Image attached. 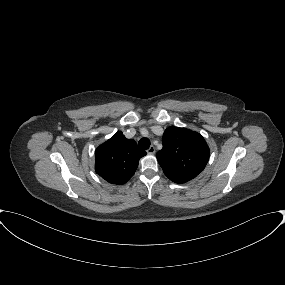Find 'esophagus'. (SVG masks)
Instances as JSON below:
<instances>
[{"instance_id": "34e87169", "label": "esophagus", "mask_w": 285, "mask_h": 285, "mask_svg": "<svg viewBox=\"0 0 285 285\" xmlns=\"http://www.w3.org/2000/svg\"><path fill=\"white\" fill-rule=\"evenodd\" d=\"M148 154H154L155 153V147L151 146L148 150H147Z\"/></svg>"}]
</instances>
